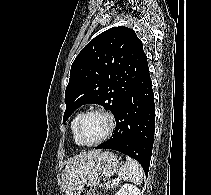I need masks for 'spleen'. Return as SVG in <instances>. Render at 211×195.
I'll list each match as a JSON object with an SVG mask.
<instances>
[{
    "label": "spleen",
    "mask_w": 211,
    "mask_h": 195,
    "mask_svg": "<svg viewBox=\"0 0 211 195\" xmlns=\"http://www.w3.org/2000/svg\"><path fill=\"white\" fill-rule=\"evenodd\" d=\"M119 176L124 181L140 184L142 182L143 169L136 160L127 156L124 166H122L119 170Z\"/></svg>",
    "instance_id": "1"
}]
</instances>
